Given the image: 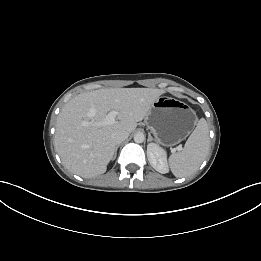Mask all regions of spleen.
<instances>
[{"mask_svg":"<svg viewBox=\"0 0 261 261\" xmlns=\"http://www.w3.org/2000/svg\"><path fill=\"white\" fill-rule=\"evenodd\" d=\"M210 148L208 124L201 118L184 148L169 157L171 172L176 177H187L194 174L204 161Z\"/></svg>","mask_w":261,"mask_h":261,"instance_id":"3e777b00","label":"spleen"}]
</instances>
